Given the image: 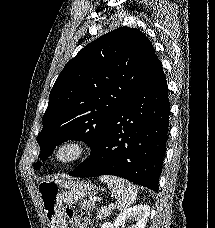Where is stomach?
Listing matches in <instances>:
<instances>
[{
  "label": "stomach",
  "instance_id": "1",
  "mask_svg": "<svg viewBox=\"0 0 215 228\" xmlns=\"http://www.w3.org/2000/svg\"><path fill=\"white\" fill-rule=\"evenodd\" d=\"M48 228H68L66 206L77 204L83 198L95 196L92 182L76 180H44L38 186Z\"/></svg>",
  "mask_w": 215,
  "mask_h": 228
}]
</instances>
